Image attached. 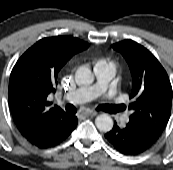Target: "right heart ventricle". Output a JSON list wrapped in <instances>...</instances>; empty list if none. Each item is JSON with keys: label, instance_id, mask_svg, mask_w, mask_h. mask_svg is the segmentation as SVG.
Returning <instances> with one entry per match:
<instances>
[{"label": "right heart ventricle", "instance_id": "1", "mask_svg": "<svg viewBox=\"0 0 173 170\" xmlns=\"http://www.w3.org/2000/svg\"><path fill=\"white\" fill-rule=\"evenodd\" d=\"M104 62L110 66H112L113 68L115 67V64L113 62H111L110 60H104Z\"/></svg>", "mask_w": 173, "mask_h": 170}]
</instances>
